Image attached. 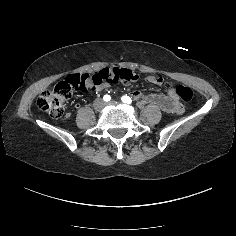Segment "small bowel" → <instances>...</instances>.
Masks as SVG:
<instances>
[{
	"label": "small bowel",
	"instance_id": "1",
	"mask_svg": "<svg viewBox=\"0 0 236 236\" xmlns=\"http://www.w3.org/2000/svg\"><path fill=\"white\" fill-rule=\"evenodd\" d=\"M149 81L155 84H161L162 83V79L158 78V77H154V76H150L149 77ZM135 95H138V93L136 92Z\"/></svg>",
	"mask_w": 236,
	"mask_h": 236
}]
</instances>
